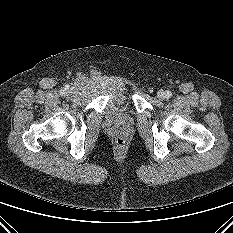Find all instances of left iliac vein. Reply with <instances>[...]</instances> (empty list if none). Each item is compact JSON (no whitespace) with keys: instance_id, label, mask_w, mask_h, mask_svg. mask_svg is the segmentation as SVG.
Instances as JSON below:
<instances>
[{"instance_id":"4c4485c4","label":"left iliac vein","mask_w":233,"mask_h":233,"mask_svg":"<svg viewBox=\"0 0 233 233\" xmlns=\"http://www.w3.org/2000/svg\"><path fill=\"white\" fill-rule=\"evenodd\" d=\"M157 97H158V99L163 100L166 98V93L163 90H159L157 92Z\"/></svg>"}]
</instances>
